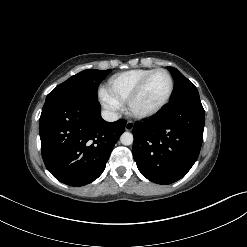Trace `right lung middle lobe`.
<instances>
[{"instance_id": "obj_1", "label": "right lung middle lobe", "mask_w": 247, "mask_h": 247, "mask_svg": "<svg viewBox=\"0 0 247 247\" xmlns=\"http://www.w3.org/2000/svg\"><path fill=\"white\" fill-rule=\"evenodd\" d=\"M108 70H84L55 87L46 97V100L56 97H77L88 100H97V88L100 82L111 72Z\"/></svg>"}]
</instances>
